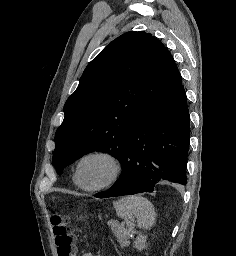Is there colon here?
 Masks as SVG:
<instances>
[{
  "label": "colon",
  "mask_w": 236,
  "mask_h": 256,
  "mask_svg": "<svg viewBox=\"0 0 236 256\" xmlns=\"http://www.w3.org/2000/svg\"><path fill=\"white\" fill-rule=\"evenodd\" d=\"M52 233L56 245L57 256H74L72 246L74 238L70 232L66 216L53 212L51 215Z\"/></svg>",
  "instance_id": "obj_1"
}]
</instances>
